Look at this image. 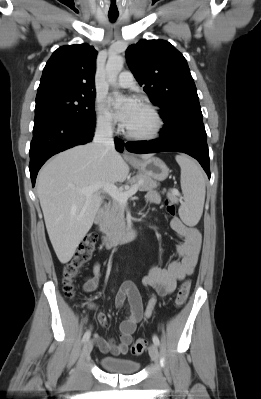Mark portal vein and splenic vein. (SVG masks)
Listing matches in <instances>:
<instances>
[{
  "label": "portal vein and splenic vein",
  "mask_w": 261,
  "mask_h": 399,
  "mask_svg": "<svg viewBox=\"0 0 261 399\" xmlns=\"http://www.w3.org/2000/svg\"><path fill=\"white\" fill-rule=\"evenodd\" d=\"M100 189H103L105 192H107L113 199L125 203L127 202L128 198L133 196L137 190H138V185L135 184L131 186L128 190L123 191L118 189L115 185L113 184H97L93 185L87 188L80 189V192L85 194V195H91L95 191H98ZM174 194H177L178 192L175 190L173 191Z\"/></svg>",
  "instance_id": "portal-vein-and-splenic-vein-1"
}]
</instances>
